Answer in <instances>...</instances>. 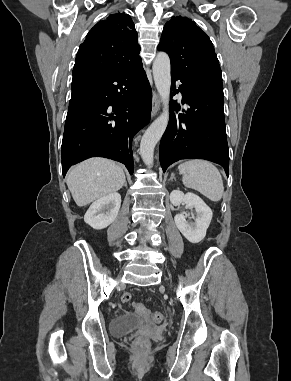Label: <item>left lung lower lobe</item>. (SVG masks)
Listing matches in <instances>:
<instances>
[{
	"label": "left lung lower lobe",
	"mask_w": 291,
	"mask_h": 381,
	"mask_svg": "<svg viewBox=\"0 0 291 381\" xmlns=\"http://www.w3.org/2000/svg\"><path fill=\"white\" fill-rule=\"evenodd\" d=\"M172 88L180 80L182 103L189 107L176 117L174 109H180L177 101L171 105L169 125L162 136L159 148L163 172L180 160L199 158L220 164L228 176L229 150L223 111V90L204 89L185 81L171 72ZM179 90H176L178 92Z\"/></svg>",
	"instance_id": "left-lung-lower-lobe-1"
}]
</instances>
